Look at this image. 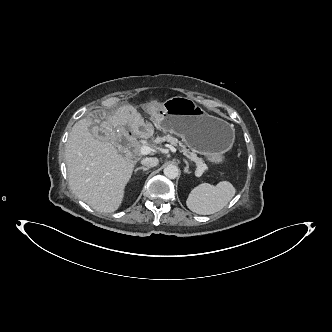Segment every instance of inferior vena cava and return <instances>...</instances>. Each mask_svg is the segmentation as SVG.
Wrapping results in <instances>:
<instances>
[{"mask_svg": "<svg viewBox=\"0 0 332 332\" xmlns=\"http://www.w3.org/2000/svg\"><path fill=\"white\" fill-rule=\"evenodd\" d=\"M159 163L158 158L156 157H146L141 160V164L146 167H155Z\"/></svg>", "mask_w": 332, "mask_h": 332, "instance_id": "602c4592", "label": "inferior vena cava"}]
</instances>
